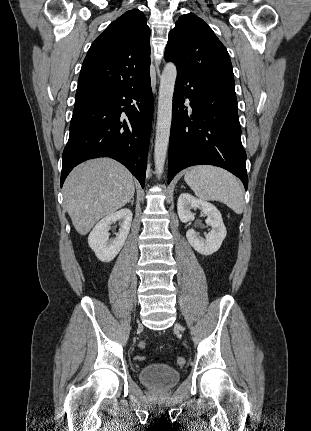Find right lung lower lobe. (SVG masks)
I'll use <instances>...</instances> for the list:
<instances>
[{
    "label": "right lung lower lobe",
    "mask_w": 311,
    "mask_h": 431,
    "mask_svg": "<svg viewBox=\"0 0 311 431\" xmlns=\"http://www.w3.org/2000/svg\"><path fill=\"white\" fill-rule=\"evenodd\" d=\"M152 114L149 71L117 89L76 97L62 156L61 186L79 163L111 157L125 165L143 188Z\"/></svg>",
    "instance_id": "obj_1"
}]
</instances>
